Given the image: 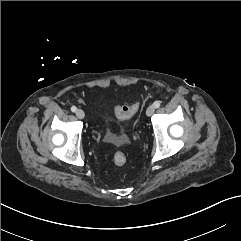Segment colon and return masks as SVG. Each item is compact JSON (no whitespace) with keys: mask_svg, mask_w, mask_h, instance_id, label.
Listing matches in <instances>:
<instances>
[{"mask_svg":"<svg viewBox=\"0 0 241 241\" xmlns=\"http://www.w3.org/2000/svg\"><path fill=\"white\" fill-rule=\"evenodd\" d=\"M138 109L139 103H134L132 105H121L115 108V113L118 118L125 120L131 118L138 111ZM113 161L116 166H123L127 162V157L123 152H117L113 157Z\"/></svg>","mask_w":241,"mask_h":241,"instance_id":"5ec220e1","label":"colon"}]
</instances>
